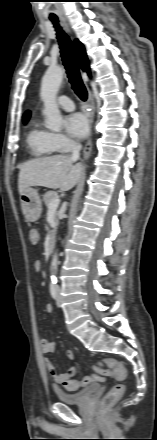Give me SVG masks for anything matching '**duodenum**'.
Masks as SVG:
<instances>
[{"instance_id": "1", "label": "duodenum", "mask_w": 157, "mask_h": 440, "mask_svg": "<svg viewBox=\"0 0 157 440\" xmlns=\"http://www.w3.org/2000/svg\"><path fill=\"white\" fill-rule=\"evenodd\" d=\"M55 244H56L55 237H51L48 241V244H47V249H48L49 253H53L54 248H55Z\"/></svg>"}]
</instances>
